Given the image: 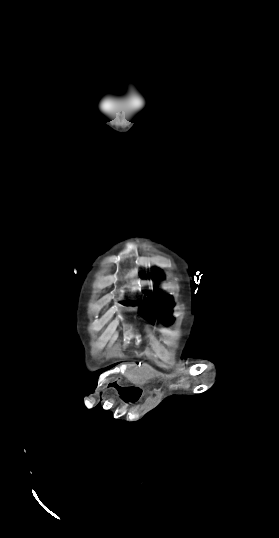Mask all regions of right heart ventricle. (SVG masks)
Here are the masks:
<instances>
[{
  "mask_svg": "<svg viewBox=\"0 0 279 538\" xmlns=\"http://www.w3.org/2000/svg\"><path fill=\"white\" fill-rule=\"evenodd\" d=\"M100 225H101V221H96V222L94 223V227H95V228H99Z\"/></svg>",
  "mask_w": 279,
  "mask_h": 538,
  "instance_id": "right-heart-ventricle-1",
  "label": "right heart ventricle"
}]
</instances>
